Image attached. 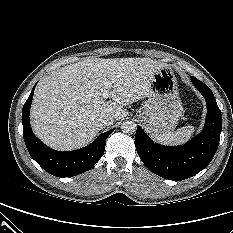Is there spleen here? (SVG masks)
Segmentation results:
<instances>
[{"mask_svg":"<svg viewBox=\"0 0 233 233\" xmlns=\"http://www.w3.org/2000/svg\"><path fill=\"white\" fill-rule=\"evenodd\" d=\"M195 131L194 126H185L175 132L161 133L155 136V140L164 145H180L191 139Z\"/></svg>","mask_w":233,"mask_h":233,"instance_id":"1","label":"spleen"}]
</instances>
